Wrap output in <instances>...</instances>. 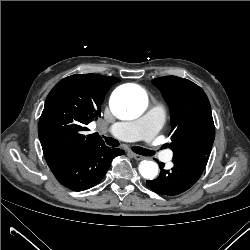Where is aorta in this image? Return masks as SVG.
Returning a JSON list of instances; mask_svg holds the SVG:
<instances>
[{"instance_id": "aorta-1", "label": "aorta", "mask_w": 250, "mask_h": 250, "mask_svg": "<svg viewBox=\"0 0 250 250\" xmlns=\"http://www.w3.org/2000/svg\"><path fill=\"white\" fill-rule=\"evenodd\" d=\"M148 107L146 94L137 86L121 87L114 91L110 99L111 112L125 119L141 116ZM139 172L146 179H153L158 174V165L153 161L143 160Z\"/></svg>"}]
</instances>
